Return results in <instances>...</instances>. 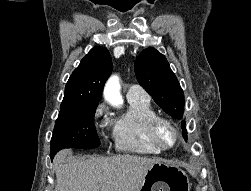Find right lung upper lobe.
<instances>
[{"mask_svg":"<svg viewBox=\"0 0 251 191\" xmlns=\"http://www.w3.org/2000/svg\"><path fill=\"white\" fill-rule=\"evenodd\" d=\"M112 67L106 48L91 49L70 76L60 109L98 104Z\"/></svg>","mask_w":251,"mask_h":191,"instance_id":"1","label":"right lung upper lobe"}]
</instances>
